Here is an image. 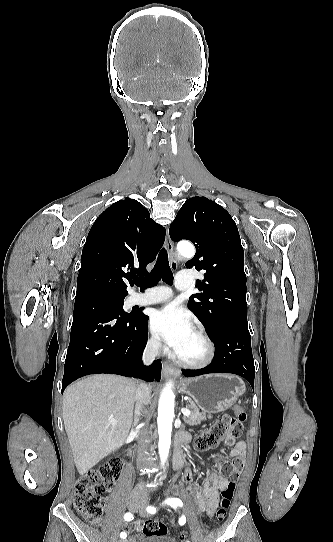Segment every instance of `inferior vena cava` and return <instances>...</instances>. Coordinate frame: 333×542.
Returning <instances> with one entry per match:
<instances>
[{
	"label": "inferior vena cava",
	"mask_w": 333,
	"mask_h": 542,
	"mask_svg": "<svg viewBox=\"0 0 333 542\" xmlns=\"http://www.w3.org/2000/svg\"><path fill=\"white\" fill-rule=\"evenodd\" d=\"M161 348V342L160 340H154L152 346L150 348H147L143 354V362L145 366H150L152 364L153 360H155L156 356L159 354V350ZM136 400L137 404H149L150 402V390L146 384H139L136 392ZM136 412V410H135ZM137 420L134 422V426H137L139 422V418L141 416L140 412H137ZM149 446L145 440H139V448H138V454H137V464H143L147 458V450ZM143 482H140V486H142Z\"/></svg>",
	"instance_id": "obj_1"
}]
</instances>
